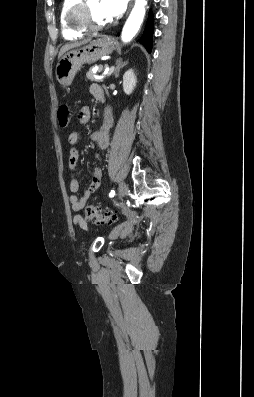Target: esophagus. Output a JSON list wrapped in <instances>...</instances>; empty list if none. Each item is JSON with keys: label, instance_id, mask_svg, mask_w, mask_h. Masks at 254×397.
Segmentation results:
<instances>
[{"label": "esophagus", "instance_id": "1", "mask_svg": "<svg viewBox=\"0 0 254 397\" xmlns=\"http://www.w3.org/2000/svg\"><path fill=\"white\" fill-rule=\"evenodd\" d=\"M132 5H133V0H132V2H131V4H130V9H131Z\"/></svg>", "mask_w": 254, "mask_h": 397}]
</instances>
